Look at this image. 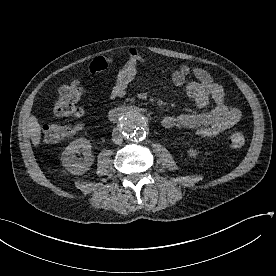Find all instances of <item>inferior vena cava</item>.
Wrapping results in <instances>:
<instances>
[{"label":"inferior vena cava","mask_w":276,"mask_h":276,"mask_svg":"<svg viewBox=\"0 0 276 276\" xmlns=\"http://www.w3.org/2000/svg\"><path fill=\"white\" fill-rule=\"evenodd\" d=\"M112 140L115 144H121L123 141V135L120 131H114L112 133Z\"/></svg>","instance_id":"1"}]
</instances>
